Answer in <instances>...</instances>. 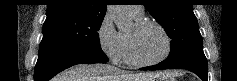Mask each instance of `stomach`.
I'll use <instances>...</instances> for the list:
<instances>
[{
	"label": "stomach",
	"instance_id": "obj_1",
	"mask_svg": "<svg viewBox=\"0 0 237 81\" xmlns=\"http://www.w3.org/2000/svg\"><path fill=\"white\" fill-rule=\"evenodd\" d=\"M151 81H173V78L171 76H159L156 77L155 79L151 80Z\"/></svg>",
	"mask_w": 237,
	"mask_h": 81
}]
</instances>
